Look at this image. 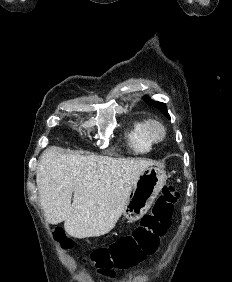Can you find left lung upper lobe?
<instances>
[{
  "instance_id": "1",
  "label": "left lung upper lobe",
  "mask_w": 232,
  "mask_h": 282,
  "mask_svg": "<svg viewBox=\"0 0 232 282\" xmlns=\"http://www.w3.org/2000/svg\"><path fill=\"white\" fill-rule=\"evenodd\" d=\"M144 100H145L148 104H150V105H152V106H154V107L160 109V110L162 111V113H163L165 116H167L168 119H170V116H169V114H168V112H167V107H166V104H165V103L157 102V101L155 102V101L149 100L147 96L144 97Z\"/></svg>"
}]
</instances>
